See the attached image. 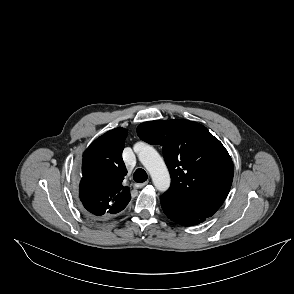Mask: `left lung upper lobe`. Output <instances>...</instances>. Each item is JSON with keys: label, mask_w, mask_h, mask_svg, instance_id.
Instances as JSON below:
<instances>
[{"label": "left lung upper lobe", "mask_w": 294, "mask_h": 294, "mask_svg": "<svg viewBox=\"0 0 294 294\" xmlns=\"http://www.w3.org/2000/svg\"><path fill=\"white\" fill-rule=\"evenodd\" d=\"M137 134L163 147L172 182L161 197L206 218L220 208L232 184L233 162L205 126L181 119L157 120L140 124Z\"/></svg>", "instance_id": "left-lung-upper-lobe-1"}]
</instances>
